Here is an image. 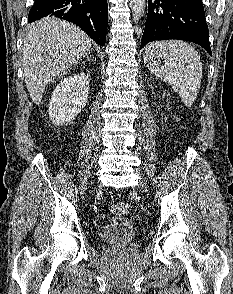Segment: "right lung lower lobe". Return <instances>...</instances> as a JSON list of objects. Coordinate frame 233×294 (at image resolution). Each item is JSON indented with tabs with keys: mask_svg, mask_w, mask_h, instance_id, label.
Returning a JSON list of instances; mask_svg holds the SVG:
<instances>
[{
	"mask_svg": "<svg viewBox=\"0 0 233 294\" xmlns=\"http://www.w3.org/2000/svg\"><path fill=\"white\" fill-rule=\"evenodd\" d=\"M56 16L73 22L97 44L105 45L108 25L107 0H35L28 22Z\"/></svg>",
	"mask_w": 233,
	"mask_h": 294,
	"instance_id": "1",
	"label": "right lung lower lobe"
}]
</instances>
